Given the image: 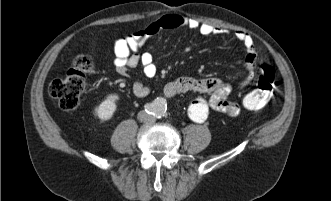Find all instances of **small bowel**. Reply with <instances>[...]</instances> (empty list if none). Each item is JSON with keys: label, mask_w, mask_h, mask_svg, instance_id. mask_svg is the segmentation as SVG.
<instances>
[{"label": "small bowel", "mask_w": 331, "mask_h": 201, "mask_svg": "<svg viewBox=\"0 0 331 201\" xmlns=\"http://www.w3.org/2000/svg\"><path fill=\"white\" fill-rule=\"evenodd\" d=\"M187 27L196 30L203 36L229 35V32L221 27L202 23L177 14H169L150 23L148 26L135 31L127 36L120 37L114 42V66L120 75H125L130 69L142 66L147 77L155 76L157 67L150 52L140 53L144 44L162 30H172ZM233 36L240 41L246 50L245 66L246 77L240 82V87L247 86L254 78V71L260 65L254 41L244 31H235ZM132 91L137 97H146L150 88L141 81H135ZM195 91L210 94L208 99L199 97L188 106V116L197 123L204 122L211 111H217L229 116H236L241 111V104L228 99L232 86L218 78L195 79L183 76L164 86V95L172 98L179 93Z\"/></svg>", "instance_id": "c3829d8e"}]
</instances>
